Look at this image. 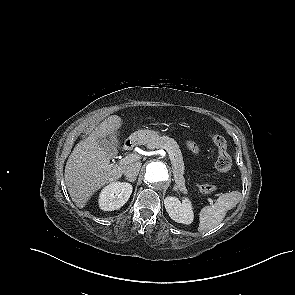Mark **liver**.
<instances>
[{
	"mask_svg": "<svg viewBox=\"0 0 295 295\" xmlns=\"http://www.w3.org/2000/svg\"><path fill=\"white\" fill-rule=\"evenodd\" d=\"M122 125L119 116H111L102 122L85 140L80 141L70 154L65 166V183L72 201L84 208L91 196L101 187L117 181L124 173L126 164H110V156L98 139L109 138V143L118 152V129ZM141 164L139 161L131 162Z\"/></svg>",
	"mask_w": 295,
	"mask_h": 295,
	"instance_id": "6515ba94",
	"label": "liver"
}]
</instances>
